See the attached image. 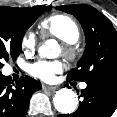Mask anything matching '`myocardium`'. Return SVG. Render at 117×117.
Instances as JSON below:
<instances>
[{
  "mask_svg": "<svg viewBox=\"0 0 117 117\" xmlns=\"http://www.w3.org/2000/svg\"><path fill=\"white\" fill-rule=\"evenodd\" d=\"M62 50H63V53L71 59H75L78 55V50L75 47L74 43L70 44V43L64 42L62 46Z\"/></svg>",
  "mask_w": 117,
  "mask_h": 117,
  "instance_id": "obj_1",
  "label": "myocardium"
}]
</instances>
